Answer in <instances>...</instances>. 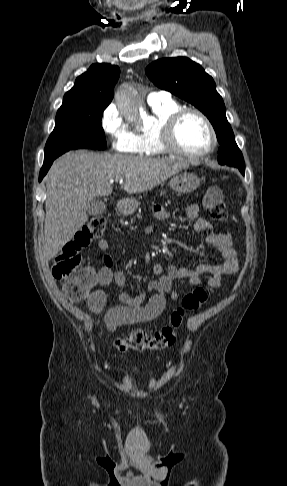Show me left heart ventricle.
Returning a JSON list of instances; mask_svg holds the SVG:
<instances>
[{
    "instance_id": "obj_1",
    "label": "left heart ventricle",
    "mask_w": 287,
    "mask_h": 486,
    "mask_svg": "<svg viewBox=\"0 0 287 486\" xmlns=\"http://www.w3.org/2000/svg\"><path fill=\"white\" fill-rule=\"evenodd\" d=\"M175 140L177 145L188 152H199L210 144V135L204 122L194 114H188L179 122Z\"/></svg>"
}]
</instances>
